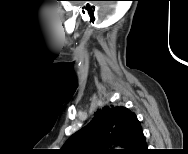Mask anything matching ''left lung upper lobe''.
<instances>
[{"instance_id":"left-lung-upper-lobe-1","label":"left lung upper lobe","mask_w":188,"mask_h":154,"mask_svg":"<svg viewBox=\"0 0 188 154\" xmlns=\"http://www.w3.org/2000/svg\"><path fill=\"white\" fill-rule=\"evenodd\" d=\"M133 115L122 106L98 109L91 122L73 134L61 149L67 154H111L117 151L110 149L112 145L124 147Z\"/></svg>"}]
</instances>
